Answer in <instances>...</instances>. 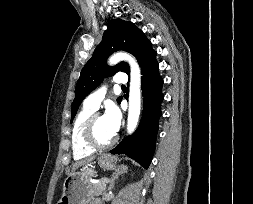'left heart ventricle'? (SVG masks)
<instances>
[{
    "label": "left heart ventricle",
    "instance_id": "b2bd125f",
    "mask_svg": "<svg viewBox=\"0 0 253 204\" xmlns=\"http://www.w3.org/2000/svg\"><path fill=\"white\" fill-rule=\"evenodd\" d=\"M95 135L98 141L102 143L109 141L115 135L107 126L104 116L97 118L95 125Z\"/></svg>",
    "mask_w": 253,
    "mask_h": 204
}]
</instances>
